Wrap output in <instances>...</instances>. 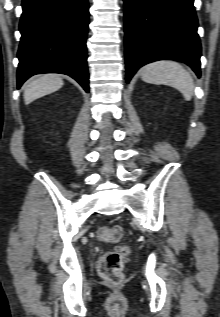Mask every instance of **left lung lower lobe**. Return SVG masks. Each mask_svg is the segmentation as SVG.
<instances>
[{
    "label": "left lung lower lobe",
    "instance_id": "1",
    "mask_svg": "<svg viewBox=\"0 0 220 317\" xmlns=\"http://www.w3.org/2000/svg\"><path fill=\"white\" fill-rule=\"evenodd\" d=\"M194 0H124L127 82L143 65L173 59L200 77L201 45Z\"/></svg>",
    "mask_w": 220,
    "mask_h": 317
}]
</instances>
